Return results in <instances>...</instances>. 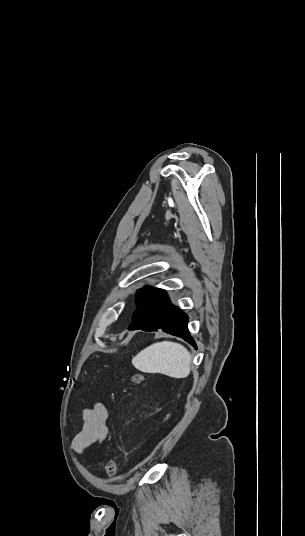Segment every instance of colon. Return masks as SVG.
<instances>
[{
	"mask_svg": "<svg viewBox=\"0 0 305 536\" xmlns=\"http://www.w3.org/2000/svg\"><path fill=\"white\" fill-rule=\"evenodd\" d=\"M131 383L133 385H139L143 382L144 380V376L142 373L140 372H136L134 374L131 375ZM107 473L110 477H114L117 473V461L115 459V457H111L108 461V464H107Z\"/></svg>",
	"mask_w": 305,
	"mask_h": 536,
	"instance_id": "colon-1",
	"label": "colon"
}]
</instances>
